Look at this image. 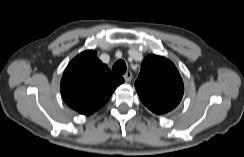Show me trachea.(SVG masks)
Listing matches in <instances>:
<instances>
[{
    "label": "trachea",
    "instance_id": "obj_1",
    "mask_svg": "<svg viewBox=\"0 0 244 157\" xmlns=\"http://www.w3.org/2000/svg\"><path fill=\"white\" fill-rule=\"evenodd\" d=\"M126 68V63L123 60H119L113 65L112 71L122 75L126 72Z\"/></svg>",
    "mask_w": 244,
    "mask_h": 157
}]
</instances>
